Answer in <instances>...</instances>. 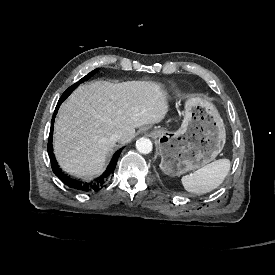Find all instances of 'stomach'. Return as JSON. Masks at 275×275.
Here are the masks:
<instances>
[{"label":"stomach","mask_w":275,"mask_h":275,"mask_svg":"<svg viewBox=\"0 0 275 275\" xmlns=\"http://www.w3.org/2000/svg\"><path fill=\"white\" fill-rule=\"evenodd\" d=\"M158 141L161 171L178 177L201 168L221 153L226 142L223 120L209 102L191 97L185 109V118L174 132L156 129L151 132Z\"/></svg>","instance_id":"stomach-1"}]
</instances>
